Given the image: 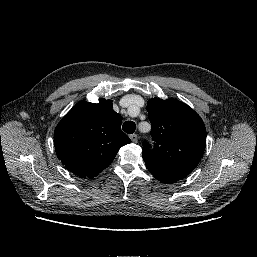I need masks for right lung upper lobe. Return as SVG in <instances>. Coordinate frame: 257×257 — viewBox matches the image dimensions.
Wrapping results in <instances>:
<instances>
[{
    "mask_svg": "<svg viewBox=\"0 0 257 257\" xmlns=\"http://www.w3.org/2000/svg\"><path fill=\"white\" fill-rule=\"evenodd\" d=\"M121 123L122 116L112 109L111 100L77 103L55 128L58 158L77 176H97L131 142L121 131Z\"/></svg>",
    "mask_w": 257,
    "mask_h": 257,
    "instance_id": "cb5924a9",
    "label": "right lung upper lobe"
}]
</instances>
